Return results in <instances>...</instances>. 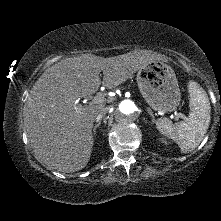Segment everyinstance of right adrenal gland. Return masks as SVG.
<instances>
[{
  "instance_id": "obj_1",
  "label": "right adrenal gland",
  "mask_w": 221,
  "mask_h": 221,
  "mask_svg": "<svg viewBox=\"0 0 221 221\" xmlns=\"http://www.w3.org/2000/svg\"><path fill=\"white\" fill-rule=\"evenodd\" d=\"M101 125V122L95 124L94 128H93V132L94 134H96V129Z\"/></svg>"
}]
</instances>
